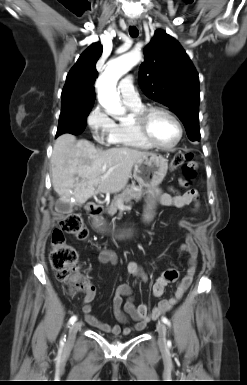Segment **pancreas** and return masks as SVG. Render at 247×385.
Segmentation results:
<instances>
[{"label":"pancreas","mask_w":247,"mask_h":385,"mask_svg":"<svg viewBox=\"0 0 247 385\" xmlns=\"http://www.w3.org/2000/svg\"><path fill=\"white\" fill-rule=\"evenodd\" d=\"M143 195V191L134 186H127L122 193L115 195L114 199L111 201L110 205L107 207V213L110 216H113L117 213L120 203H130L132 199L139 201Z\"/></svg>","instance_id":"1"}]
</instances>
